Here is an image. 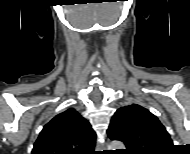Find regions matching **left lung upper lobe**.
Masks as SVG:
<instances>
[{
	"label": "left lung upper lobe",
	"instance_id": "1",
	"mask_svg": "<svg viewBox=\"0 0 190 154\" xmlns=\"http://www.w3.org/2000/svg\"><path fill=\"white\" fill-rule=\"evenodd\" d=\"M107 133L110 139L122 141L129 154H159L173 147L158 118L137 104L118 109Z\"/></svg>",
	"mask_w": 190,
	"mask_h": 154
}]
</instances>
